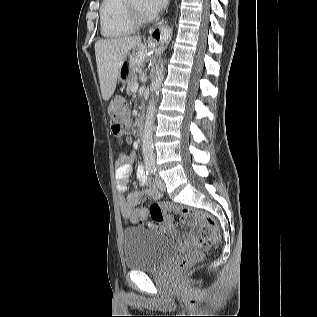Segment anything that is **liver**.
Wrapping results in <instances>:
<instances>
[{"instance_id":"liver-1","label":"liver","mask_w":317,"mask_h":317,"mask_svg":"<svg viewBox=\"0 0 317 317\" xmlns=\"http://www.w3.org/2000/svg\"><path fill=\"white\" fill-rule=\"evenodd\" d=\"M141 45V37L127 36L100 39L95 43V56L102 98L108 101L113 95L117 77L127 53Z\"/></svg>"}]
</instances>
